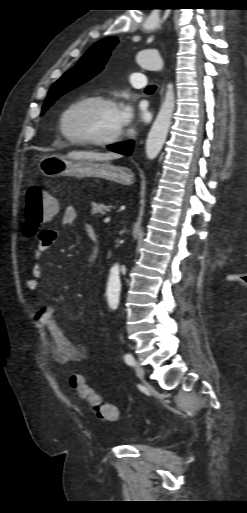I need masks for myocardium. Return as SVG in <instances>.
Masks as SVG:
<instances>
[{"label": "myocardium", "instance_id": "obj_1", "mask_svg": "<svg viewBox=\"0 0 247 513\" xmlns=\"http://www.w3.org/2000/svg\"><path fill=\"white\" fill-rule=\"evenodd\" d=\"M101 103L110 106H116V101L109 96L101 95V94H91L84 97H81L69 104H67L63 110L61 111L58 118V129L60 133L70 142L85 144V145H93V146H108L118 142L123 136L122 128L118 130L116 133L104 137V138H89V137H81L71 135L65 127L66 119L69 113L78 105L85 103Z\"/></svg>", "mask_w": 247, "mask_h": 513}]
</instances>
